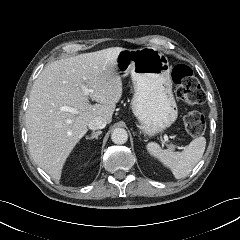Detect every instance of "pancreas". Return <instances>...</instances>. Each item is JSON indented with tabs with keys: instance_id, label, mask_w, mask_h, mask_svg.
<instances>
[{
	"instance_id": "pancreas-1",
	"label": "pancreas",
	"mask_w": 240,
	"mask_h": 240,
	"mask_svg": "<svg viewBox=\"0 0 240 240\" xmlns=\"http://www.w3.org/2000/svg\"><path fill=\"white\" fill-rule=\"evenodd\" d=\"M169 148L173 149V148H174V146H172V145H169Z\"/></svg>"
}]
</instances>
